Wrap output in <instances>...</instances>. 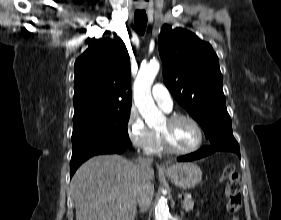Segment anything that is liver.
I'll use <instances>...</instances> for the list:
<instances>
[{"label": "liver", "instance_id": "obj_1", "mask_svg": "<svg viewBox=\"0 0 281 220\" xmlns=\"http://www.w3.org/2000/svg\"><path fill=\"white\" fill-rule=\"evenodd\" d=\"M154 171L120 155H99L82 164L71 180L76 220H134L137 189L151 186ZM154 188V187H153Z\"/></svg>", "mask_w": 281, "mask_h": 220}]
</instances>
